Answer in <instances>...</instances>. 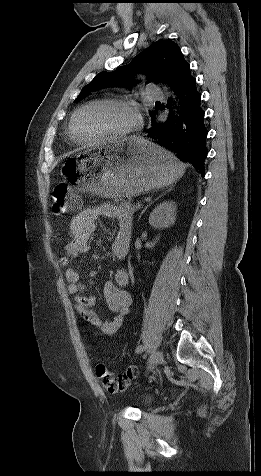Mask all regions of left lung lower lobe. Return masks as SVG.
<instances>
[{
    "mask_svg": "<svg viewBox=\"0 0 261 476\" xmlns=\"http://www.w3.org/2000/svg\"><path fill=\"white\" fill-rule=\"evenodd\" d=\"M175 101L168 100L169 116L162 123H154L147 131L148 137L164 149L174 153L181 161L190 163L202 176L207 157L204 111L196 80L188 66L173 87ZM176 108L175 114L172 110ZM164 109V107H162Z\"/></svg>",
    "mask_w": 261,
    "mask_h": 476,
    "instance_id": "0a47b994",
    "label": "left lung lower lobe"
}]
</instances>
